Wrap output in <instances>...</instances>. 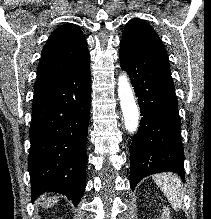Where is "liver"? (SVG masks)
<instances>
[{
	"mask_svg": "<svg viewBox=\"0 0 211 219\" xmlns=\"http://www.w3.org/2000/svg\"><path fill=\"white\" fill-rule=\"evenodd\" d=\"M58 199H59L58 196H52V197H49L47 199H43L42 200V206L44 208H48V207L52 206L53 204L57 203Z\"/></svg>",
	"mask_w": 211,
	"mask_h": 219,
	"instance_id": "liver-1",
	"label": "liver"
}]
</instances>
